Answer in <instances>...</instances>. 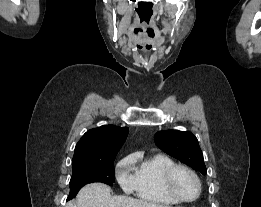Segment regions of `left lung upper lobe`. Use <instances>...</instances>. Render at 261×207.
I'll use <instances>...</instances> for the list:
<instances>
[{
	"label": "left lung upper lobe",
	"instance_id": "1",
	"mask_svg": "<svg viewBox=\"0 0 261 207\" xmlns=\"http://www.w3.org/2000/svg\"><path fill=\"white\" fill-rule=\"evenodd\" d=\"M156 145L172 157L191 166L194 170L206 174L203 153L198 140L189 131H159L154 136Z\"/></svg>",
	"mask_w": 261,
	"mask_h": 207
}]
</instances>
